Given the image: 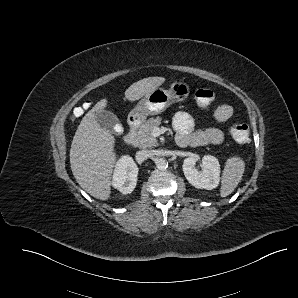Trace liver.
<instances>
[{
    "label": "liver",
    "mask_w": 298,
    "mask_h": 298,
    "mask_svg": "<svg viewBox=\"0 0 298 298\" xmlns=\"http://www.w3.org/2000/svg\"><path fill=\"white\" fill-rule=\"evenodd\" d=\"M166 79L154 76L143 78L125 91L131 102L153 92ZM107 106V99L97 102L82 118L70 148V167L77 183L96 199L108 200L111 194V176L116 163L115 138L100 127L95 112Z\"/></svg>",
    "instance_id": "liver-1"
}]
</instances>
